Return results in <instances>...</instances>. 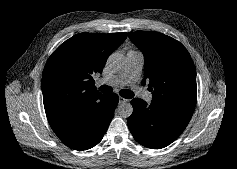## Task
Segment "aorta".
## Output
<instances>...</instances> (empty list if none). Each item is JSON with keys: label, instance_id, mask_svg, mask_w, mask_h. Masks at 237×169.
<instances>
[{"label": "aorta", "instance_id": "obj_1", "mask_svg": "<svg viewBox=\"0 0 237 169\" xmlns=\"http://www.w3.org/2000/svg\"><path fill=\"white\" fill-rule=\"evenodd\" d=\"M109 66L114 72H120L124 69L125 58L121 54H112L108 59ZM133 112L132 105L127 102H123L118 106L117 113L122 118H128Z\"/></svg>", "mask_w": 237, "mask_h": 169}]
</instances>
